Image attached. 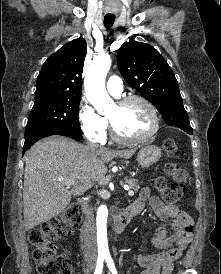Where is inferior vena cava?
<instances>
[{"label": "inferior vena cava", "instance_id": "602c4592", "mask_svg": "<svg viewBox=\"0 0 221 274\" xmlns=\"http://www.w3.org/2000/svg\"><path fill=\"white\" fill-rule=\"evenodd\" d=\"M83 236L85 256L87 259L95 260L97 258V238L93 209L91 207L88 209L83 224Z\"/></svg>", "mask_w": 221, "mask_h": 274}]
</instances>
